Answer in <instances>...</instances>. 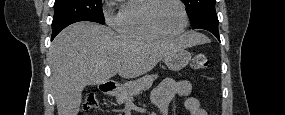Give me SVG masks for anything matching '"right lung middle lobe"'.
Instances as JSON below:
<instances>
[{"instance_id": "right-lung-middle-lobe-1", "label": "right lung middle lobe", "mask_w": 285, "mask_h": 115, "mask_svg": "<svg viewBox=\"0 0 285 115\" xmlns=\"http://www.w3.org/2000/svg\"><path fill=\"white\" fill-rule=\"evenodd\" d=\"M77 21L104 24L101 0H55L52 29Z\"/></svg>"}]
</instances>
